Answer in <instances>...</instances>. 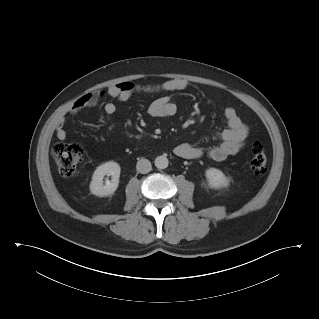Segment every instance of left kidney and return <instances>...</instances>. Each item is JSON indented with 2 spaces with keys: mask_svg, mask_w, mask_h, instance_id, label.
I'll use <instances>...</instances> for the list:
<instances>
[{
  "mask_svg": "<svg viewBox=\"0 0 319 319\" xmlns=\"http://www.w3.org/2000/svg\"><path fill=\"white\" fill-rule=\"evenodd\" d=\"M205 176L209 182V185L213 188H222L229 185L228 178L222 171L216 168H209L205 172Z\"/></svg>",
  "mask_w": 319,
  "mask_h": 319,
  "instance_id": "5707ae66",
  "label": "left kidney"
}]
</instances>
